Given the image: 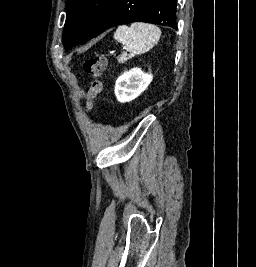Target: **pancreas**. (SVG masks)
<instances>
[{
	"label": "pancreas",
	"instance_id": "obj_1",
	"mask_svg": "<svg viewBox=\"0 0 256 267\" xmlns=\"http://www.w3.org/2000/svg\"><path fill=\"white\" fill-rule=\"evenodd\" d=\"M119 64H125V62H127V60H129V58H127V54H122V56H120V58H117Z\"/></svg>",
	"mask_w": 256,
	"mask_h": 267
}]
</instances>
